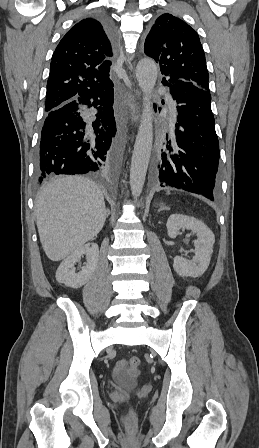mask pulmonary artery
I'll list each match as a JSON object with an SVG mask.
<instances>
[{"instance_id":"e3ab8cb5","label":"pulmonary artery","mask_w":259,"mask_h":448,"mask_svg":"<svg viewBox=\"0 0 259 448\" xmlns=\"http://www.w3.org/2000/svg\"><path fill=\"white\" fill-rule=\"evenodd\" d=\"M166 101H167V107L169 111L175 112L176 111V105H175V101L173 100V98L170 95L166 96Z\"/></svg>"}]
</instances>
